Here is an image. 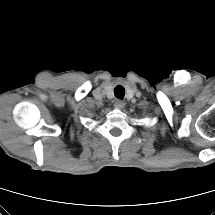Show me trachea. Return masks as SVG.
<instances>
[{"instance_id":"obj_1","label":"trachea","mask_w":215,"mask_h":215,"mask_svg":"<svg viewBox=\"0 0 215 215\" xmlns=\"http://www.w3.org/2000/svg\"><path fill=\"white\" fill-rule=\"evenodd\" d=\"M114 94H115L116 98L123 99L124 96H125V89H124V87L121 86V85L116 86V88L114 89Z\"/></svg>"}]
</instances>
